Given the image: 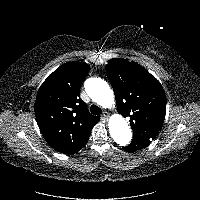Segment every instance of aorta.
<instances>
[{"label": "aorta", "instance_id": "762f6f07", "mask_svg": "<svg viewBox=\"0 0 200 200\" xmlns=\"http://www.w3.org/2000/svg\"><path fill=\"white\" fill-rule=\"evenodd\" d=\"M85 90L90 98L103 108L115 106L113 91L101 78L92 77L85 81ZM109 131L113 140L120 146H126L132 139L131 128L120 114H114L109 120Z\"/></svg>", "mask_w": 200, "mask_h": 200}]
</instances>
